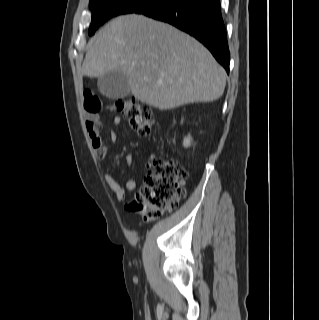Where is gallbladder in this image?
I'll return each instance as SVG.
<instances>
[{
  "label": "gallbladder",
  "mask_w": 319,
  "mask_h": 320,
  "mask_svg": "<svg viewBox=\"0 0 319 320\" xmlns=\"http://www.w3.org/2000/svg\"><path fill=\"white\" fill-rule=\"evenodd\" d=\"M99 91L109 99H119L130 94L126 75L120 72H109L98 80Z\"/></svg>",
  "instance_id": "bac80fb5"
}]
</instances>
